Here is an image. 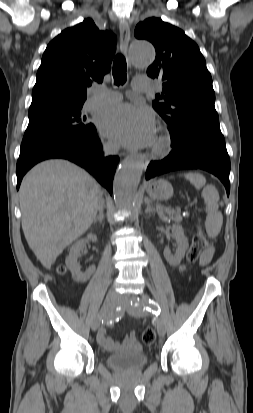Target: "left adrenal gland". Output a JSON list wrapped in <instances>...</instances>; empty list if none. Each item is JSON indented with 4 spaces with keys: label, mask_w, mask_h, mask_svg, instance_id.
Returning a JSON list of instances; mask_svg holds the SVG:
<instances>
[{
    "label": "left adrenal gland",
    "mask_w": 253,
    "mask_h": 413,
    "mask_svg": "<svg viewBox=\"0 0 253 413\" xmlns=\"http://www.w3.org/2000/svg\"><path fill=\"white\" fill-rule=\"evenodd\" d=\"M146 205H147V208H146V210H145V213H146V214L149 215V214H151V212H155V209H153V208L151 207V205H150L149 202H147Z\"/></svg>",
    "instance_id": "obj_1"
}]
</instances>
